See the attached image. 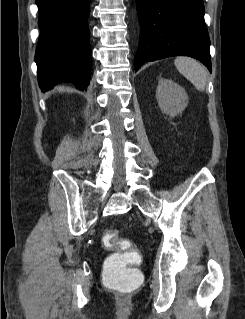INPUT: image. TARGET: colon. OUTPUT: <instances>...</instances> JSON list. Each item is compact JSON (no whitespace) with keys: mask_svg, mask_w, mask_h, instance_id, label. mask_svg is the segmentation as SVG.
Masks as SVG:
<instances>
[{"mask_svg":"<svg viewBox=\"0 0 245 319\" xmlns=\"http://www.w3.org/2000/svg\"><path fill=\"white\" fill-rule=\"evenodd\" d=\"M102 244L107 249H120L110 254L105 260V284L122 291H131L139 287L142 276L135 268V264L139 262L140 256L133 249L131 242L119 238L115 231L106 230L102 237Z\"/></svg>","mask_w":245,"mask_h":319,"instance_id":"colon-1","label":"colon"}]
</instances>
